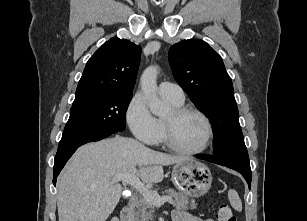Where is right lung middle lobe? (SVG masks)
I'll return each mask as SVG.
<instances>
[{"label":"right lung middle lobe","instance_id":"1","mask_svg":"<svg viewBox=\"0 0 307 221\" xmlns=\"http://www.w3.org/2000/svg\"><path fill=\"white\" fill-rule=\"evenodd\" d=\"M132 93H109L73 102L58 149L90 137L125 130Z\"/></svg>","mask_w":307,"mask_h":221}]
</instances>
